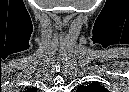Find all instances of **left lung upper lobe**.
<instances>
[{"label": "left lung upper lobe", "mask_w": 129, "mask_h": 92, "mask_svg": "<svg viewBox=\"0 0 129 92\" xmlns=\"http://www.w3.org/2000/svg\"><path fill=\"white\" fill-rule=\"evenodd\" d=\"M77 91L79 92H108L104 87L100 86L97 82H93L85 86H80Z\"/></svg>", "instance_id": "1"}]
</instances>
